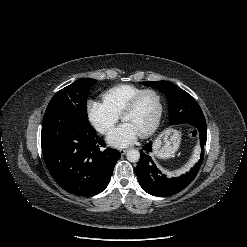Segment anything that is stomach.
Here are the masks:
<instances>
[{"mask_svg": "<svg viewBox=\"0 0 247 247\" xmlns=\"http://www.w3.org/2000/svg\"><path fill=\"white\" fill-rule=\"evenodd\" d=\"M181 135L177 130L167 129L154 142L153 154L159 158H168L174 155L180 144Z\"/></svg>", "mask_w": 247, "mask_h": 247, "instance_id": "0dacf381", "label": "stomach"}]
</instances>
